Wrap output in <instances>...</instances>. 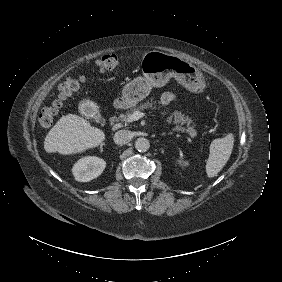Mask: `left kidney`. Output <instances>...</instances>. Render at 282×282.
<instances>
[{
  "label": "left kidney",
  "mask_w": 282,
  "mask_h": 282,
  "mask_svg": "<svg viewBox=\"0 0 282 282\" xmlns=\"http://www.w3.org/2000/svg\"><path fill=\"white\" fill-rule=\"evenodd\" d=\"M176 163L178 166H180L182 169L189 167L190 162L188 160L183 159L182 157H178L176 159Z\"/></svg>",
  "instance_id": "left-kidney-1"
}]
</instances>
